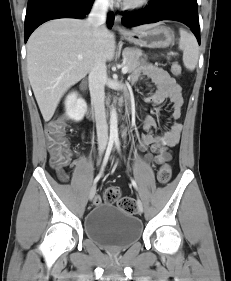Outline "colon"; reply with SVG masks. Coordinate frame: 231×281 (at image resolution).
Instances as JSON below:
<instances>
[{"label":"colon","mask_w":231,"mask_h":281,"mask_svg":"<svg viewBox=\"0 0 231 281\" xmlns=\"http://www.w3.org/2000/svg\"><path fill=\"white\" fill-rule=\"evenodd\" d=\"M171 72L174 76H180L181 66L178 63H173ZM46 135L51 166L54 168H64L71 161V153L66 137L64 119L58 118L50 122L46 127ZM171 175V166L169 164H164L158 170L157 179L161 184H166L170 181ZM103 200L110 204L117 203L120 209L129 214H135L137 211L135 201L129 197H121V191L117 187H108L104 191ZM100 203L101 199L97 197L94 200V205Z\"/></svg>","instance_id":"obj_1"}]
</instances>
